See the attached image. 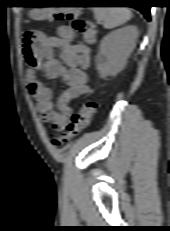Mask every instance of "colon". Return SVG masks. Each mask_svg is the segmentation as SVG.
<instances>
[{"instance_id": "colon-1", "label": "colon", "mask_w": 170, "mask_h": 231, "mask_svg": "<svg viewBox=\"0 0 170 231\" xmlns=\"http://www.w3.org/2000/svg\"><path fill=\"white\" fill-rule=\"evenodd\" d=\"M81 14V9L76 7L58 10L34 9L30 12L31 18L37 21H70L81 38L85 42L91 44L97 37L98 29L95 24L88 23L81 19ZM96 108V102L92 100L83 104L72 116L71 122L67 125L66 132L62 133L60 136H51L52 144L55 146L64 144L87 128L92 121Z\"/></svg>"}]
</instances>
